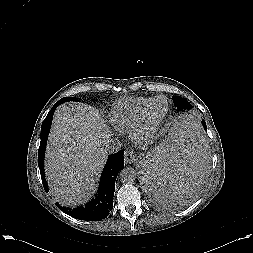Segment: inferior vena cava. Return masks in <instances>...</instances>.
Here are the masks:
<instances>
[{
    "mask_svg": "<svg viewBox=\"0 0 253 253\" xmlns=\"http://www.w3.org/2000/svg\"><path fill=\"white\" fill-rule=\"evenodd\" d=\"M105 149L109 153H115L121 149V143L120 141H114L113 139L108 140V142L105 145Z\"/></svg>",
    "mask_w": 253,
    "mask_h": 253,
    "instance_id": "inferior-vena-cava-1",
    "label": "inferior vena cava"
}]
</instances>
